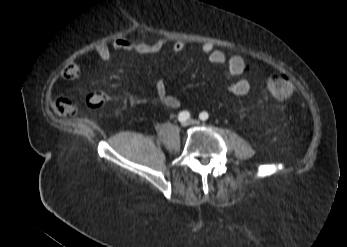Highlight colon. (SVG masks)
Here are the masks:
<instances>
[{"label":"colon","instance_id":"1","mask_svg":"<svg viewBox=\"0 0 347 247\" xmlns=\"http://www.w3.org/2000/svg\"><path fill=\"white\" fill-rule=\"evenodd\" d=\"M269 92L278 99L288 98L293 91L292 83L283 73H276L268 80ZM87 102L92 108H100L107 102V96L100 91L91 92L87 97Z\"/></svg>","mask_w":347,"mask_h":247}]
</instances>
